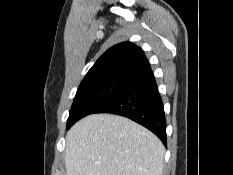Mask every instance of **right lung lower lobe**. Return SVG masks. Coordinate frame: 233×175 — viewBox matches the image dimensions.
<instances>
[{
	"instance_id": "right-lung-lower-lobe-1",
	"label": "right lung lower lobe",
	"mask_w": 233,
	"mask_h": 175,
	"mask_svg": "<svg viewBox=\"0 0 233 175\" xmlns=\"http://www.w3.org/2000/svg\"><path fill=\"white\" fill-rule=\"evenodd\" d=\"M93 113H112L127 117L152 131L166 145L165 113L151 70L133 79Z\"/></svg>"
}]
</instances>
